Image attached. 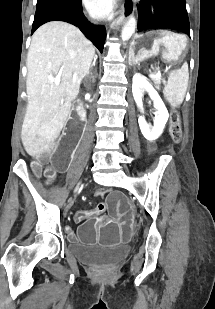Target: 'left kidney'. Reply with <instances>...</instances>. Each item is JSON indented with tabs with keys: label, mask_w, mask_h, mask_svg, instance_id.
Instances as JSON below:
<instances>
[{
	"label": "left kidney",
	"mask_w": 215,
	"mask_h": 309,
	"mask_svg": "<svg viewBox=\"0 0 215 309\" xmlns=\"http://www.w3.org/2000/svg\"><path fill=\"white\" fill-rule=\"evenodd\" d=\"M144 90L148 92L157 110L155 112V120L153 126H149V124H147L144 116H139L138 122L143 136H145L147 140H156V138H158V136H160V134H162L163 132V128L169 118V112L162 98H160L157 90H155L152 84H150V82L146 80V76H143V74H140V72H136V74H134L133 76L132 92L134 100L137 106L141 108L142 112L144 110L142 102Z\"/></svg>",
	"instance_id": "obj_1"
}]
</instances>
